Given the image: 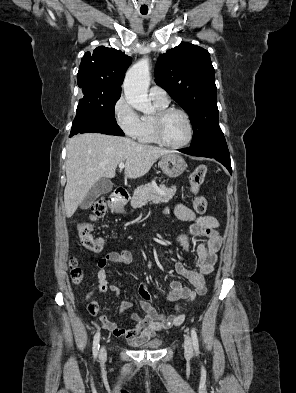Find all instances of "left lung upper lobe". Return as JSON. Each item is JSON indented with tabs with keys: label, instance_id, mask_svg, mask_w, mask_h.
<instances>
[{
	"label": "left lung upper lobe",
	"instance_id": "1",
	"mask_svg": "<svg viewBox=\"0 0 296 393\" xmlns=\"http://www.w3.org/2000/svg\"><path fill=\"white\" fill-rule=\"evenodd\" d=\"M155 81L190 116V148L225 141L219 126L215 73L207 50L182 43L158 58Z\"/></svg>",
	"mask_w": 296,
	"mask_h": 393
}]
</instances>
